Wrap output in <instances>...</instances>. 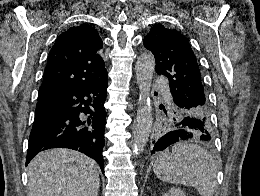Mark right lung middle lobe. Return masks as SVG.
I'll return each instance as SVG.
<instances>
[{
    "label": "right lung middle lobe",
    "mask_w": 260,
    "mask_h": 196,
    "mask_svg": "<svg viewBox=\"0 0 260 196\" xmlns=\"http://www.w3.org/2000/svg\"><path fill=\"white\" fill-rule=\"evenodd\" d=\"M46 117H47L46 115L36 114L34 122L42 120V119H44Z\"/></svg>",
    "instance_id": "obj_1"
}]
</instances>
